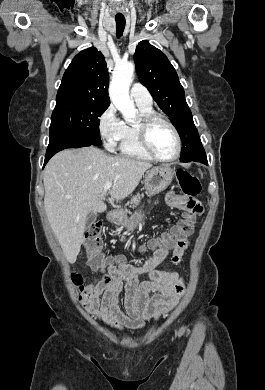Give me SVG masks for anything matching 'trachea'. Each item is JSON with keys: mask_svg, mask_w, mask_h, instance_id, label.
I'll return each mask as SVG.
<instances>
[{"mask_svg": "<svg viewBox=\"0 0 265 390\" xmlns=\"http://www.w3.org/2000/svg\"><path fill=\"white\" fill-rule=\"evenodd\" d=\"M117 37H121L125 28V18H116Z\"/></svg>", "mask_w": 265, "mask_h": 390, "instance_id": "obj_1", "label": "trachea"}]
</instances>
